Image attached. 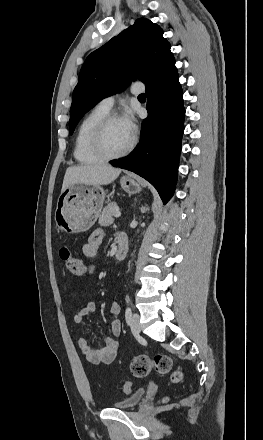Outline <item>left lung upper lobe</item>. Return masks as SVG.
I'll use <instances>...</instances> for the list:
<instances>
[{"instance_id":"left-lung-upper-lobe-1","label":"left lung upper lobe","mask_w":263,"mask_h":440,"mask_svg":"<svg viewBox=\"0 0 263 440\" xmlns=\"http://www.w3.org/2000/svg\"><path fill=\"white\" fill-rule=\"evenodd\" d=\"M163 30L139 18L85 60L73 91L69 132L103 98L123 90L137 78L147 83L163 66L175 61Z\"/></svg>"}]
</instances>
